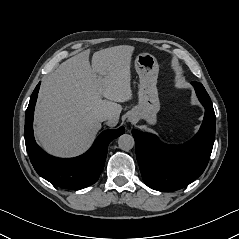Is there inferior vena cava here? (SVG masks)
I'll use <instances>...</instances> for the list:
<instances>
[{
	"label": "inferior vena cava",
	"instance_id": "602c4592",
	"mask_svg": "<svg viewBox=\"0 0 239 239\" xmlns=\"http://www.w3.org/2000/svg\"><path fill=\"white\" fill-rule=\"evenodd\" d=\"M97 119L100 121V122H103V121H109L111 119V116L107 113H103V114H99L97 116Z\"/></svg>",
	"mask_w": 239,
	"mask_h": 239
}]
</instances>
